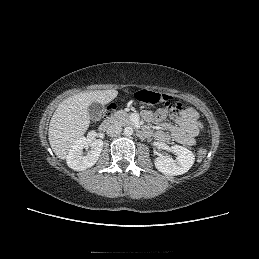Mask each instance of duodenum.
I'll use <instances>...</instances> for the list:
<instances>
[{
  "label": "duodenum",
  "instance_id": "410a0bca",
  "mask_svg": "<svg viewBox=\"0 0 259 259\" xmlns=\"http://www.w3.org/2000/svg\"><path fill=\"white\" fill-rule=\"evenodd\" d=\"M113 124H114L113 119H112V118H107V119H105V120L100 124L99 129H100L101 132H105V131H107L108 129H110V128L113 126ZM139 133H140L141 135H145L147 132H146L145 130H143V129H140V130H139Z\"/></svg>",
  "mask_w": 259,
  "mask_h": 259
}]
</instances>
